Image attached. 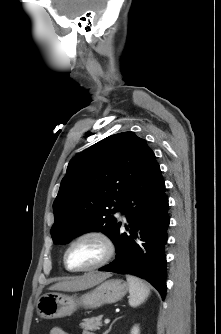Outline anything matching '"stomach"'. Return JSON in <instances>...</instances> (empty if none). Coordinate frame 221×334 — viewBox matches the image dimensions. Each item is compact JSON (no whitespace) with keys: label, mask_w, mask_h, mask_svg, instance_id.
<instances>
[{"label":"stomach","mask_w":221,"mask_h":334,"mask_svg":"<svg viewBox=\"0 0 221 334\" xmlns=\"http://www.w3.org/2000/svg\"><path fill=\"white\" fill-rule=\"evenodd\" d=\"M128 291V284L121 279H106L93 290L77 297L50 292L37 302V313L41 318L54 319L70 316L78 307L98 308L121 300Z\"/></svg>","instance_id":"0dacf381"}]
</instances>
